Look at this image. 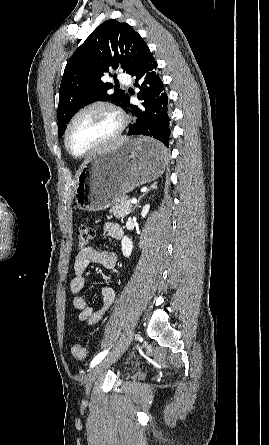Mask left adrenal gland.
Returning a JSON list of instances; mask_svg holds the SVG:
<instances>
[{
  "label": "left adrenal gland",
  "mask_w": 269,
  "mask_h": 445,
  "mask_svg": "<svg viewBox=\"0 0 269 445\" xmlns=\"http://www.w3.org/2000/svg\"><path fill=\"white\" fill-rule=\"evenodd\" d=\"M156 188H157V186H156V182H154V183L150 186V188H149L144 194H142V196L139 197V199H138V201H137L135 207L138 206L139 201L141 200V198H143V197H144V196H145L151 189H156Z\"/></svg>",
  "instance_id": "a2214340"
}]
</instances>
